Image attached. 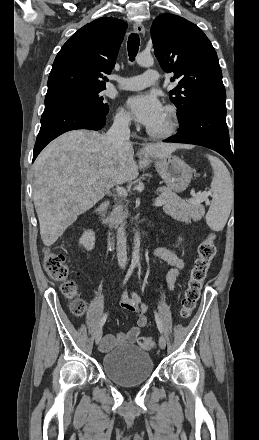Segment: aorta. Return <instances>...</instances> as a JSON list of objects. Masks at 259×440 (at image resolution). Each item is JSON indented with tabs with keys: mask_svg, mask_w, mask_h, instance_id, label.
Wrapping results in <instances>:
<instances>
[{
	"mask_svg": "<svg viewBox=\"0 0 259 440\" xmlns=\"http://www.w3.org/2000/svg\"><path fill=\"white\" fill-rule=\"evenodd\" d=\"M136 62L143 67H151L154 64V59L150 54L140 53L136 56ZM139 259H140V234L136 232L134 235L132 261H139Z\"/></svg>",
	"mask_w": 259,
	"mask_h": 440,
	"instance_id": "762f6f07",
	"label": "aorta"
}]
</instances>
